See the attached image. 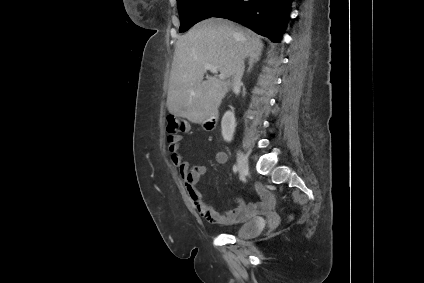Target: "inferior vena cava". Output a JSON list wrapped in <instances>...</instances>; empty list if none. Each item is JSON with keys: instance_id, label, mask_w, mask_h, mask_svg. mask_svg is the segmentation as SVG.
<instances>
[{"instance_id": "1", "label": "inferior vena cava", "mask_w": 424, "mask_h": 283, "mask_svg": "<svg viewBox=\"0 0 424 283\" xmlns=\"http://www.w3.org/2000/svg\"><path fill=\"white\" fill-rule=\"evenodd\" d=\"M244 72V62L243 60L238 61L235 75H234V86H237L241 83V79Z\"/></svg>"}]
</instances>
